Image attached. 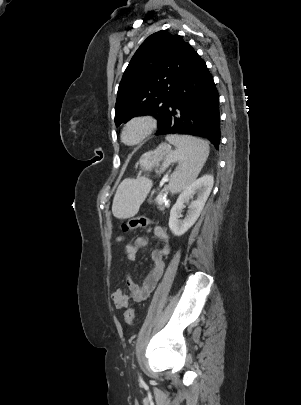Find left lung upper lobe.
I'll return each mask as SVG.
<instances>
[{"mask_svg":"<svg viewBox=\"0 0 301 405\" xmlns=\"http://www.w3.org/2000/svg\"><path fill=\"white\" fill-rule=\"evenodd\" d=\"M195 50L165 30L150 35L138 48L119 84L115 124L149 114L163 125L176 90Z\"/></svg>","mask_w":301,"mask_h":405,"instance_id":"5c2ea615","label":"left lung upper lobe"}]
</instances>
